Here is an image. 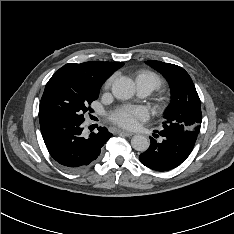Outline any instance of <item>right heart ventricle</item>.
I'll return each instance as SVG.
<instances>
[{
	"instance_id": "right-heart-ventricle-1",
	"label": "right heart ventricle",
	"mask_w": 234,
	"mask_h": 234,
	"mask_svg": "<svg viewBox=\"0 0 234 234\" xmlns=\"http://www.w3.org/2000/svg\"><path fill=\"white\" fill-rule=\"evenodd\" d=\"M137 83L139 81H146L150 83L153 90L158 89L162 85V79L154 72L141 71L136 77Z\"/></svg>"
}]
</instances>
